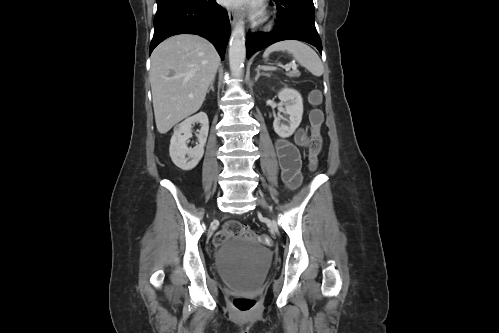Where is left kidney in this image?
<instances>
[{"label": "left kidney", "mask_w": 499, "mask_h": 333, "mask_svg": "<svg viewBox=\"0 0 499 333\" xmlns=\"http://www.w3.org/2000/svg\"><path fill=\"white\" fill-rule=\"evenodd\" d=\"M278 98L285 105L284 116L275 117L273 128L280 137H290L302 121L303 99L297 90L287 87L278 92Z\"/></svg>", "instance_id": "left-kidney-1"}]
</instances>
